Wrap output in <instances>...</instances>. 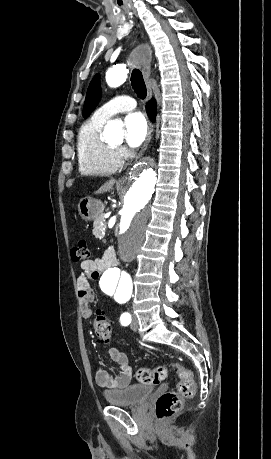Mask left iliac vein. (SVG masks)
I'll list each match as a JSON object with an SVG mask.
<instances>
[{
  "mask_svg": "<svg viewBox=\"0 0 271 459\" xmlns=\"http://www.w3.org/2000/svg\"><path fill=\"white\" fill-rule=\"evenodd\" d=\"M139 328V325H138V320H137V316L135 314L132 315V322H131V329L133 331H137Z\"/></svg>",
  "mask_w": 271,
  "mask_h": 459,
  "instance_id": "left-iliac-vein-1",
  "label": "left iliac vein"
}]
</instances>
